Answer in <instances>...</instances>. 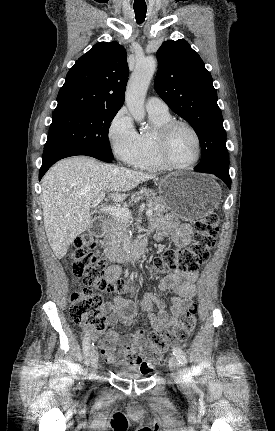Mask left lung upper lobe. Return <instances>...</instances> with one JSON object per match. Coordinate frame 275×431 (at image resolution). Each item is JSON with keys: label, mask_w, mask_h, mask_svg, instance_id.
Returning <instances> with one entry per match:
<instances>
[{"label": "left lung upper lobe", "mask_w": 275, "mask_h": 431, "mask_svg": "<svg viewBox=\"0 0 275 431\" xmlns=\"http://www.w3.org/2000/svg\"><path fill=\"white\" fill-rule=\"evenodd\" d=\"M157 59L156 92L173 112L194 127L199 138L202 160L194 169L229 172L223 117L204 62L184 39L164 42Z\"/></svg>", "instance_id": "1"}]
</instances>
